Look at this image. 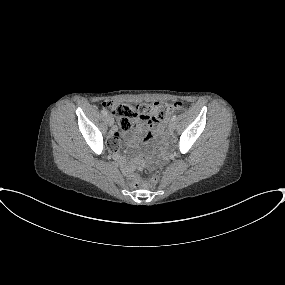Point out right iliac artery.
I'll return each mask as SVG.
<instances>
[{"label":"right iliac artery","instance_id":"82829eb1","mask_svg":"<svg viewBox=\"0 0 285 285\" xmlns=\"http://www.w3.org/2000/svg\"><path fill=\"white\" fill-rule=\"evenodd\" d=\"M101 112L104 116H107V114H108V112L105 109H102Z\"/></svg>","mask_w":285,"mask_h":285}]
</instances>
